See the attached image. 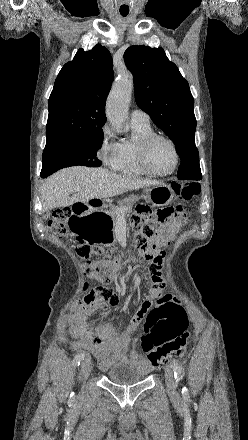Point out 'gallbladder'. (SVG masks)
I'll use <instances>...</instances> for the list:
<instances>
[{
  "label": "gallbladder",
  "mask_w": 248,
  "mask_h": 440,
  "mask_svg": "<svg viewBox=\"0 0 248 440\" xmlns=\"http://www.w3.org/2000/svg\"><path fill=\"white\" fill-rule=\"evenodd\" d=\"M49 214H50V212L48 211V213H47V217H49Z\"/></svg>",
  "instance_id": "bac80fb5"
}]
</instances>
